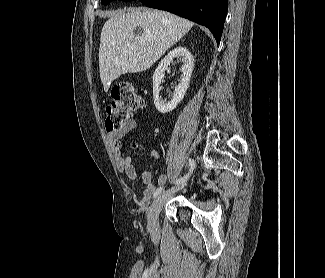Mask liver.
<instances>
[{
	"label": "liver",
	"mask_w": 325,
	"mask_h": 278,
	"mask_svg": "<svg viewBox=\"0 0 325 278\" xmlns=\"http://www.w3.org/2000/svg\"><path fill=\"white\" fill-rule=\"evenodd\" d=\"M100 37V78L107 92L122 74L149 69L193 26L172 13L147 8L106 13ZM139 28L141 33H135Z\"/></svg>",
	"instance_id": "liver-1"
}]
</instances>
